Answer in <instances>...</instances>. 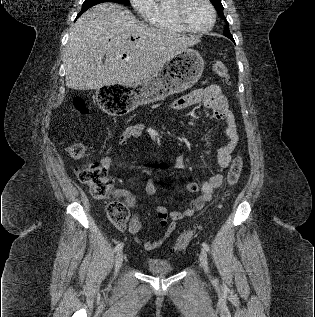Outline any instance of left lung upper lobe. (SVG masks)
I'll use <instances>...</instances> for the list:
<instances>
[{
	"label": "left lung upper lobe",
	"mask_w": 315,
	"mask_h": 317,
	"mask_svg": "<svg viewBox=\"0 0 315 317\" xmlns=\"http://www.w3.org/2000/svg\"><path fill=\"white\" fill-rule=\"evenodd\" d=\"M211 3L214 5L215 9L217 10V13L220 15V17L226 21L224 15H223V6L220 0H210ZM223 34L228 37L229 39H231L232 41H234L233 36L231 35L230 31H229V25L228 23H226L225 26V30L223 32Z\"/></svg>",
	"instance_id": "5c2ea615"
}]
</instances>
